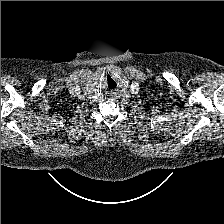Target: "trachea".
Here are the masks:
<instances>
[{
	"label": "trachea",
	"mask_w": 224,
	"mask_h": 224,
	"mask_svg": "<svg viewBox=\"0 0 224 224\" xmlns=\"http://www.w3.org/2000/svg\"><path fill=\"white\" fill-rule=\"evenodd\" d=\"M105 87L108 90H114L117 87V83L111 77H108L107 80H106V83H105Z\"/></svg>",
	"instance_id": "1"
}]
</instances>
